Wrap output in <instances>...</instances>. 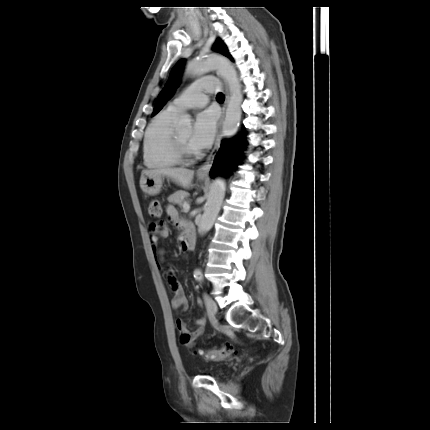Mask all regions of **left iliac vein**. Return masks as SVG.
<instances>
[{
	"instance_id": "1",
	"label": "left iliac vein",
	"mask_w": 430,
	"mask_h": 430,
	"mask_svg": "<svg viewBox=\"0 0 430 430\" xmlns=\"http://www.w3.org/2000/svg\"><path fill=\"white\" fill-rule=\"evenodd\" d=\"M205 305L207 308V312L211 317H215L217 313V304L216 302L207 294L204 295Z\"/></svg>"
}]
</instances>
